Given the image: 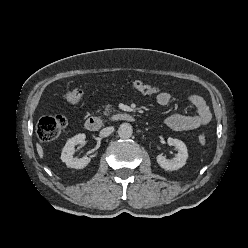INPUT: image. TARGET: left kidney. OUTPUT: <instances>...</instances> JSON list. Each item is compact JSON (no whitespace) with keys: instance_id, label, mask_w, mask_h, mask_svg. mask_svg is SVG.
Wrapping results in <instances>:
<instances>
[{"instance_id":"obj_1","label":"left kidney","mask_w":248,"mask_h":248,"mask_svg":"<svg viewBox=\"0 0 248 248\" xmlns=\"http://www.w3.org/2000/svg\"><path fill=\"white\" fill-rule=\"evenodd\" d=\"M167 143L170 146H175L178 153L172 160L166 159L162 154L157 156L158 164L165 170L173 171L182 168L186 164L188 158V150L184 142L178 139L169 137Z\"/></svg>"}]
</instances>
